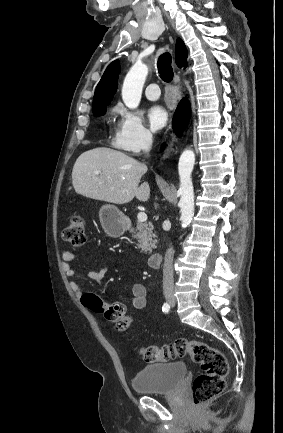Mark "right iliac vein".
Instances as JSON below:
<instances>
[{"mask_svg": "<svg viewBox=\"0 0 283 433\" xmlns=\"http://www.w3.org/2000/svg\"><path fill=\"white\" fill-rule=\"evenodd\" d=\"M167 300H168V302H169L170 304H173V303H174V300H173L172 298H168Z\"/></svg>", "mask_w": 283, "mask_h": 433, "instance_id": "right-iliac-vein-1", "label": "right iliac vein"}]
</instances>
